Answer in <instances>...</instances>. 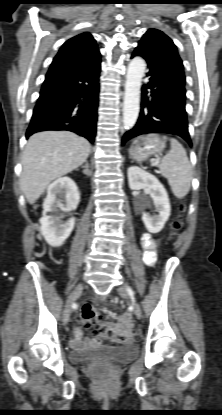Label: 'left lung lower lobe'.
I'll use <instances>...</instances> for the list:
<instances>
[{"label":"left lung lower lobe","instance_id":"left-lung-lower-lobe-1","mask_svg":"<svg viewBox=\"0 0 222 415\" xmlns=\"http://www.w3.org/2000/svg\"><path fill=\"white\" fill-rule=\"evenodd\" d=\"M143 57L148 64L142 90L141 111L136 124L123 138L128 140L147 133H167L183 138L192 146L185 110V75L177 52L147 41H140L132 58Z\"/></svg>","mask_w":222,"mask_h":415}]
</instances>
